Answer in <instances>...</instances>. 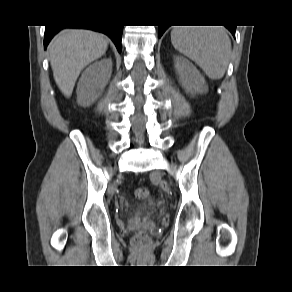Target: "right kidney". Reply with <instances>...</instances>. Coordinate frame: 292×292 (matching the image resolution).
Instances as JSON below:
<instances>
[{
	"label": "right kidney",
	"instance_id": "ca27d5eb",
	"mask_svg": "<svg viewBox=\"0 0 292 292\" xmlns=\"http://www.w3.org/2000/svg\"><path fill=\"white\" fill-rule=\"evenodd\" d=\"M112 73L111 58H104L89 65L77 85V102L90 106L103 92Z\"/></svg>",
	"mask_w": 292,
	"mask_h": 292
}]
</instances>
